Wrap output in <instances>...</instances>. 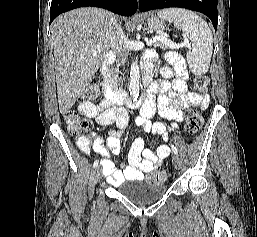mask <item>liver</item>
I'll list each match as a JSON object with an SVG mask.
<instances>
[{
  "label": "liver",
  "mask_w": 257,
  "mask_h": 237,
  "mask_svg": "<svg viewBox=\"0 0 257 237\" xmlns=\"http://www.w3.org/2000/svg\"><path fill=\"white\" fill-rule=\"evenodd\" d=\"M114 16L103 9L80 8L51 25L59 109L65 115L82 96L111 47Z\"/></svg>",
  "instance_id": "1"
}]
</instances>
